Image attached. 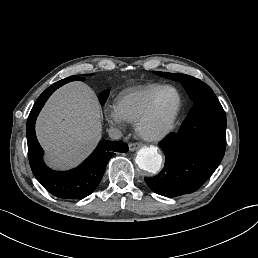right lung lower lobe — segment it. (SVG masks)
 Listing matches in <instances>:
<instances>
[{
  "mask_svg": "<svg viewBox=\"0 0 258 258\" xmlns=\"http://www.w3.org/2000/svg\"><path fill=\"white\" fill-rule=\"evenodd\" d=\"M83 77L70 76L48 87L36 100L27 120L29 162L34 176L51 194L63 199H83L99 185L109 159L116 152H127L122 141L102 140L93 153L77 168L66 172L54 171L43 161V150L35 135L36 118L49 96L62 85Z\"/></svg>",
  "mask_w": 258,
  "mask_h": 258,
  "instance_id": "right-lung-lower-lobe-1",
  "label": "right lung lower lobe"
}]
</instances>
